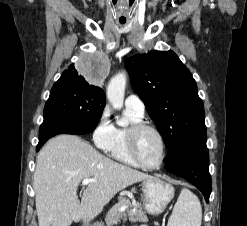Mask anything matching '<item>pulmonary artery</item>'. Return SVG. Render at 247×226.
Returning a JSON list of instances; mask_svg holds the SVG:
<instances>
[{
	"instance_id": "obj_1",
	"label": "pulmonary artery",
	"mask_w": 247,
	"mask_h": 226,
	"mask_svg": "<svg viewBox=\"0 0 247 226\" xmlns=\"http://www.w3.org/2000/svg\"><path fill=\"white\" fill-rule=\"evenodd\" d=\"M125 106L126 108L131 109L140 115L144 114V111H145L144 102L136 94H130L126 97Z\"/></svg>"
}]
</instances>
